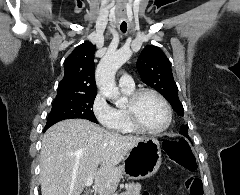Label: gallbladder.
<instances>
[{
    "mask_svg": "<svg viewBox=\"0 0 240 195\" xmlns=\"http://www.w3.org/2000/svg\"><path fill=\"white\" fill-rule=\"evenodd\" d=\"M84 195H91V190H84Z\"/></svg>",
    "mask_w": 240,
    "mask_h": 195,
    "instance_id": "gallbladder-1",
    "label": "gallbladder"
}]
</instances>
